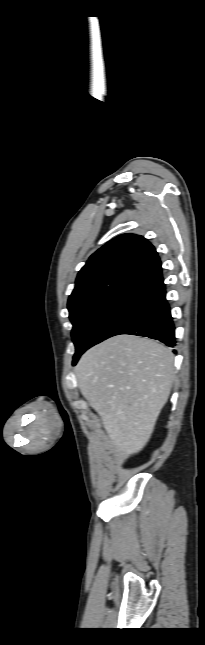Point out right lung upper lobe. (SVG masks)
<instances>
[{
  "instance_id": "1",
  "label": "right lung upper lobe",
  "mask_w": 205,
  "mask_h": 645,
  "mask_svg": "<svg viewBox=\"0 0 205 645\" xmlns=\"http://www.w3.org/2000/svg\"><path fill=\"white\" fill-rule=\"evenodd\" d=\"M162 280L154 246L142 236L123 234L97 250L79 271L68 306L124 286L149 290Z\"/></svg>"
}]
</instances>
